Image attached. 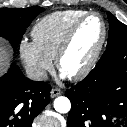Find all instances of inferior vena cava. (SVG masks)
I'll return each instance as SVG.
<instances>
[{"instance_id": "1", "label": "inferior vena cava", "mask_w": 127, "mask_h": 127, "mask_svg": "<svg viewBox=\"0 0 127 127\" xmlns=\"http://www.w3.org/2000/svg\"><path fill=\"white\" fill-rule=\"evenodd\" d=\"M27 77L34 81H43L47 79V72L43 69L37 68H27L26 69Z\"/></svg>"}]
</instances>
